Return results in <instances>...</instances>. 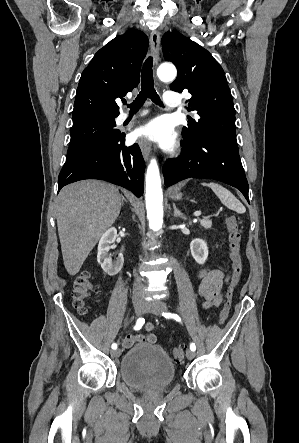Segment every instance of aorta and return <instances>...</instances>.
I'll use <instances>...</instances> for the list:
<instances>
[{
    "label": "aorta",
    "mask_w": 299,
    "mask_h": 443,
    "mask_svg": "<svg viewBox=\"0 0 299 443\" xmlns=\"http://www.w3.org/2000/svg\"><path fill=\"white\" fill-rule=\"evenodd\" d=\"M177 70L172 64H162L157 69V76L162 81H172L176 78ZM146 209L149 228L158 232L163 224V192L159 167L155 159H151L146 173Z\"/></svg>",
    "instance_id": "obj_1"
}]
</instances>
